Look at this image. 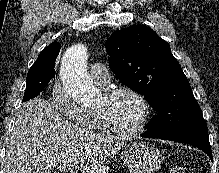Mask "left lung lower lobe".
<instances>
[{
    "instance_id": "obj_1",
    "label": "left lung lower lobe",
    "mask_w": 219,
    "mask_h": 173,
    "mask_svg": "<svg viewBox=\"0 0 219 173\" xmlns=\"http://www.w3.org/2000/svg\"><path fill=\"white\" fill-rule=\"evenodd\" d=\"M141 136L187 143L201 149L210 157V159H212V152H211V146L209 144L208 131L206 130L187 131V132L179 133L176 135H169V136H155V135L143 133Z\"/></svg>"
}]
</instances>
